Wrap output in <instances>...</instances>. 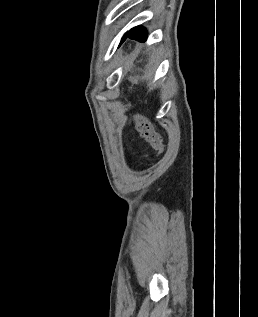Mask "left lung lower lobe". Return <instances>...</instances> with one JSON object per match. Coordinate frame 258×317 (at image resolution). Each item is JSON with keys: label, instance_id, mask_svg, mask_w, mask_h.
Returning <instances> with one entry per match:
<instances>
[{"label": "left lung lower lobe", "instance_id": "0a47b994", "mask_svg": "<svg viewBox=\"0 0 258 317\" xmlns=\"http://www.w3.org/2000/svg\"><path fill=\"white\" fill-rule=\"evenodd\" d=\"M127 37L139 42H145L147 38V31L142 26L134 27L129 32L125 33L120 44H122Z\"/></svg>", "mask_w": 258, "mask_h": 317}]
</instances>
